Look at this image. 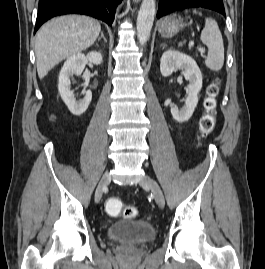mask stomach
<instances>
[{
  "mask_svg": "<svg viewBox=\"0 0 265 269\" xmlns=\"http://www.w3.org/2000/svg\"><path fill=\"white\" fill-rule=\"evenodd\" d=\"M184 26H186V23L183 19L167 17L160 22L159 33L162 37L169 38L178 33Z\"/></svg>",
  "mask_w": 265,
  "mask_h": 269,
  "instance_id": "0dacf381",
  "label": "stomach"
}]
</instances>
